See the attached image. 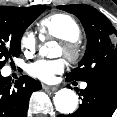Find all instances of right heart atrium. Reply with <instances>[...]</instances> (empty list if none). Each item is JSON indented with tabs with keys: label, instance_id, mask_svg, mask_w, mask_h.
Instances as JSON below:
<instances>
[{
	"label": "right heart atrium",
	"instance_id": "d8ad5b80",
	"mask_svg": "<svg viewBox=\"0 0 117 117\" xmlns=\"http://www.w3.org/2000/svg\"><path fill=\"white\" fill-rule=\"evenodd\" d=\"M20 46L25 54H32L35 52L38 41L35 34L32 31H25L20 37Z\"/></svg>",
	"mask_w": 117,
	"mask_h": 117
}]
</instances>
